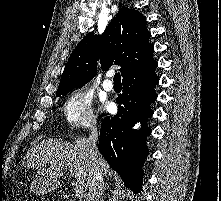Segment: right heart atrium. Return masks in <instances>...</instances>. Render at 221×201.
<instances>
[{
	"label": "right heart atrium",
	"instance_id": "obj_1",
	"mask_svg": "<svg viewBox=\"0 0 221 201\" xmlns=\"http://www.w3.org/2000/svg\"><path fill=\"white\" fill-rule=\"evenodd\" d=\"M63 116L71 128H87L96 123L92 97L84 89L73 91L63 105Z\"/></svg>",
	"mask_w": 221,
	"mask_h": 201
}]
</instances>
